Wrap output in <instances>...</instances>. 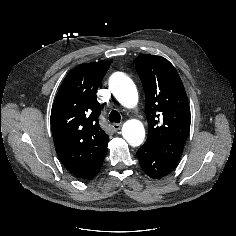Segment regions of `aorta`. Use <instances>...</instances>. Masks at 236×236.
I'll use <instances>...</instances> for the list:
<instances>
[{
	"label": "aorta",
	"instance_id": "aorta-1",
	"mask_svg": "<svg viewBox=\"0 0 236 236\" xmlns=\"http://www.w3.org/2000/svg\"><path fill=\"white\" fill-rule=\"evenodd\" d=\"M110 88L119 101L126 108H134L138 103V92L134 82L124 73L116 72L110 77ZM122 136L133 147L140 146L145 139L143 124L136 119L123 124Z\"/></svg>",
	"mask_w": 236,
	"mask_h": 236
}]
</instances>
